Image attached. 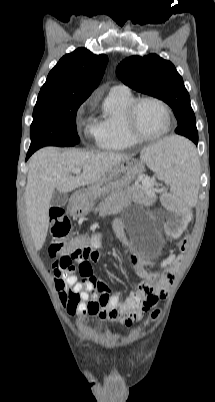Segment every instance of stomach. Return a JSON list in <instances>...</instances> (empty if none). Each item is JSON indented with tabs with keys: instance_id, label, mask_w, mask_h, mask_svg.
I'll list each match as a JSON object with an SVG mask.
<instances>
[{
	"instance_id": "stomach-1",
	"label": "stomach",
	"mask_w": 215,
	"mask_h": 402,
	"mask_svg": "<svg viewBox=\"0 0 215 402\" xmlns=\"http://www.w3.org/2000/svg\"><path fill=\"white\" fill-rule=\"evenodd\" d=\"M143 171L142 161L127 159L120 162L97 182L76 194L75 211L81 215L87 214L92 209L95 199L107 196L117 189L128 187Z\"/></svg>"
}]
</instances>
